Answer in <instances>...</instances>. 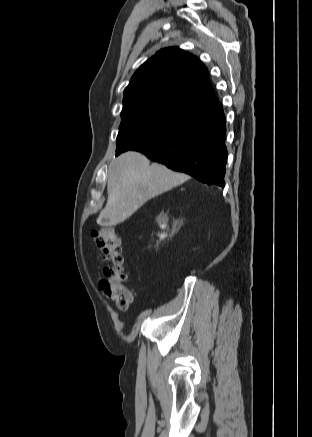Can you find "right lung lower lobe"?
Wrapping results in <instances>:
<instances>
[{
    "instance_id": "right-lung-lower-lobe-1",
    "label": "right lung lower lobe",
    "mask_w": 312,
    "mask_h": 437,
    "mask_svg": "<svg viewBox=\"0 0 312 437\" xmlns=\"http://www.w3.org/2000/svg\"><path fill=\"white\" fill-rule=\"evenodd\" d=\"M225 137V116L217 102L170 137L135 150L202 183L224 187L228 155Z\"/></svg>"
}]
</instances>
